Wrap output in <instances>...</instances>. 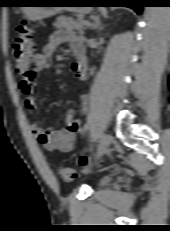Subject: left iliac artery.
Instances as JSON below:
<instances>
[{
	"label": "left iliac artery",
	"mask_w": 170,
	"mask_h": 231,
	"mask_svg": "<svg viewBox=\"0 0 170 231\" xmlns=\"http://www.w3.org/2000/svg\"><path fill=\"white\" fill-rule=\"evenodd\" d=\"M87 129H88V125H85L84 127H83V132H85V131H87Z\"/></svg>",
	"instance_id": "left-iliac-artery-1"
}]
</instances>
